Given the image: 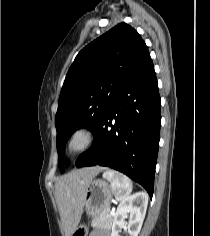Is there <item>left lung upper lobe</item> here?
Returning <instances> with one entry per match:
<instances>
[{
  "label": "left lung upper lobe",
  "instance_id": "5c2ea615",
  "mask_svg": "<svg viewBox=\"0 0 210 236\" xmlns=\"http://www.w3.org/2000/svg\"><path fill=\"white\" fill-rule=\"evenodd\" d=\"M151 61L135 29L120 23L76 56L61 89L55 117L59 168L72 133L95 131L119 92Z\"/></svg>",
  "mask_w": 210,
  "mask_h": 236
}]
</instances>
